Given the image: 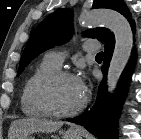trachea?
<instances>
[{"label":"trachea","mask_w":141,"mask_h":139,"mask_svg":"<svg viewBox=\"0 0 141 139\" xmlns=\"http://www.w3.org/2000/svg\"><path fill=\"white\" fill-rule=\"evenodd\" d=\"M96 58H103V52H100L96 55Z\"/></svg>","instance_id":"1"}]
</instances>
